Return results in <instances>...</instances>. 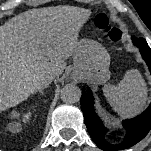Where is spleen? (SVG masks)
I'll return each mask as SVG.
<instances>
[{
    "label": "spleen",
    "instance_id": "1",
    "mask_svg": "<svg viewBox=\"0 0 151 151\" xmlns=\"http://www.w3.org/2000/svg\"><path fill=\"white\" fill-rule=\"evenodd\" d=\"M103 92L112 108L121 115L137 113L144 100V84L135 70H127L118 83L110 81Z\"/></svg>",
    "mask_w": 151,
    "mask_h": 151
}]
</instances>
